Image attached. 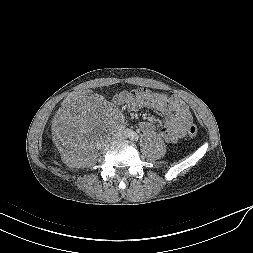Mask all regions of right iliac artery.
Instances as JSON below:
<instances>
[{
	"label": "right iliac artery",
	"mask_w": 253,
	"mask_h": 253,
	"mask_svg": "<svg viewBox=\"0 0 253 253\" xmlns=\"http://www.w3.org/2000/svg\"><path fill=\"white\" fill-rule=\"evenodd\" d=\"M130 133H131V132H130L129 130H127V131L125 132V134L128 135V136L130 135Z\"/></svg>",
	"instance_id": "obj_1"
}]
</instances>
